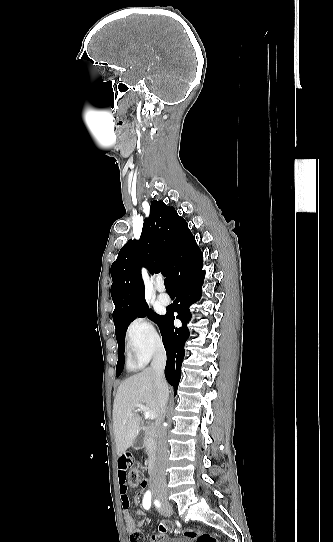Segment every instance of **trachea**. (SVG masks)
I'll return each instance as SVG.
<instances>
[{"instance_id":"1","label":"trachea","mask_w":333,"mask_h":542,"mask_svg":"<svg viewBox=\"0 0 333 542\" xmlns=\"http://www.w3.org/2000/svg\"><path fill=\"white\" fill-rule=\"evenodd\" d=\"M164 283H165L166 289H172L171 282L168 277L164 280Z\"/></svg>"}]
</instances>
